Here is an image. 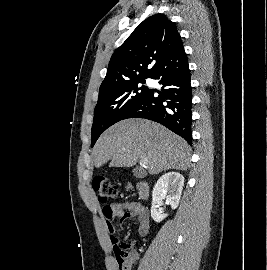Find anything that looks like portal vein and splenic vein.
Wrapping results in <instances>:
<instances>
[{"label": "portal vein and splenic vein", "mask_w": 267, "mask_h": 270, "mask_svg": "<svg viewBox=\"0 0 267 270\" xmlns=\"http://www.w3.org/2000/svg\"><path fill=\"white\" fill-rule=\"evenodd\" d=\"M140 163L143 164V165L146 164L145 160H143V159L140 160Z\"/></svg>", "instance_id": "18ae733b"}]
</instances>
